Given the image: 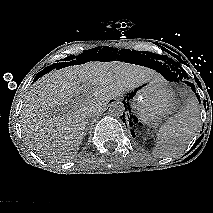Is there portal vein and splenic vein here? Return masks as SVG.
<instances>
[{
    "instance_id": "1",
    "label": "portal vein and splenic vein",
    "mask_w": 213,
    "mask_h": 213,
    "mask_svg": "<svg viewBox=\"0 0 213 213\" xmlns=\"http://www.w3.org/2000/svg\"><path fill=\"white\" fill-rule=\"evenodd\" d=\"M83 96L89 97V93L85 92V94Z\"/></svg>"
}]
</instances>
